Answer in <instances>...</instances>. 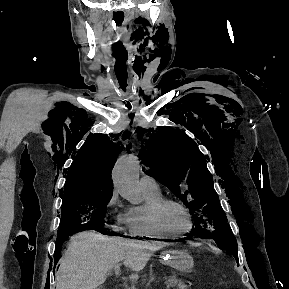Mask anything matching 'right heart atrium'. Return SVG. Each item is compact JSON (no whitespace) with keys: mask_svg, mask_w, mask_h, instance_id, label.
Wrapping results in <instances>:
<instances>
[{"mask_svg":"<svg viewBox=\"0 0 289 289\" xmlns=\"http://www.w3.org/2000/svg\"><path fill=\"white\" fill-rule=\"evenodd\" d=\"M105 209L108 213L115 215V223L112 225V229L116 232L124 231L127 228L126 211L122 209L121 200L115 190L110 194Z\"/></svg>","mask_w":289,"mask_h":289,"instance_id":"obj_1","label":"right heart atrium"}]
</instances>
